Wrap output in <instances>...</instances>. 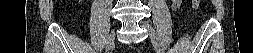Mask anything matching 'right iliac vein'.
<instances>
[{"instance_id": "right-iliac-vein-1", "label": "right iliac vein", "mask_w": 253, "mask_h": 53, "mask_svg": "<svg viewBox=\"0 0 253 53\" xmlns=\"http://www.w3.org/2000/svg\"><path fill=\"white\" fill-rule=\"evenodd\" d=\"M114 40H115V33L112 32L108 38V41H107L106 52H108L110 50V48H112V46L114 44Z\"/></svg>"}]
</instances>
